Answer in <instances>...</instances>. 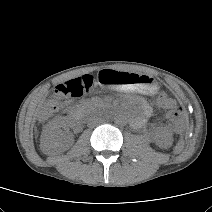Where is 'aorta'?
I'll return each mask as SVG.
<instances>
[{
  "label": "aorta",
  "instance_id": "762f6f07",
  "mask_svg": "<svg viewBox=\"0 0 212 212\" xmlns=\"http://www.w3.org/2000/svg\"><path fill=\"white\" fill-rule=\"evenodd\" d=\"M115 122H116L117 124L122 125V124L125 123V119H124L123 116H118V117L115 119Z\"/></svg>",
  "mask_w": 212,
  "mask_h": 212
}]
</instances>
